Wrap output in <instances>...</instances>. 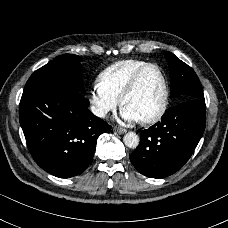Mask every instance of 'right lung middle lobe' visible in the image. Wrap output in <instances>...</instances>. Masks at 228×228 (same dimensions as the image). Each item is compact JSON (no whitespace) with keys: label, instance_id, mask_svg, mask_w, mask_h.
Here are the masks:
<instances>
[{"label":"right lung middle lobe","instance_id":"right-lung-middle-lobe-1","mask_svg":"<svg viewBox=\"0 0 228 228\" xmlns=\"http://www.w3.org/2000/svg\"><path fill=\"white\" fill-rule=\"evenodd\" d=\"M81 57L73 54H63L35 71L27 81L31 85L45 81H58L71 85L79 92H85L82 76Z\"/></svg>","mask_w":228,"mask_h":228}]
</instances>
